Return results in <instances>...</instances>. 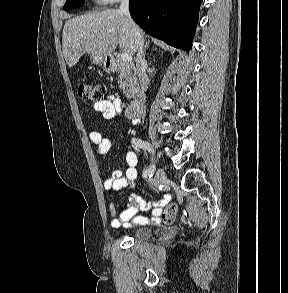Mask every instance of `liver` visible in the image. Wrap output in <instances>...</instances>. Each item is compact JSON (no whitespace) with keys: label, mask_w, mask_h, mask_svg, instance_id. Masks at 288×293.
<instances>
[{"label":"liver","mask_w":288,"mask_h":293,"mask_svg":"<svg viewBox=\"0 0 288 293\" xmlns=\"http://www.w3.org/2000/svg\"><path fill=\"white\" fill-rule=\"evenodd\" d=\"M117 45L131 56L136 52L134 36L126 17L119 10H102L65 22L62 47L69 67L76 65L84 54L109 56Z\"/></svg>","instance_id":"liver-1"}]
</instances>
